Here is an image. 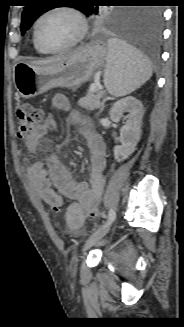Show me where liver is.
<instances>
[{"label": "liver", "instance_id": "6515ba94", "mask_svg": "<svg viewBox=\"0 0 184 327\" xmlns=\"http://www.w3.org/2000/svg\"><path fill=\"white\" fill-rule=\"evenodd\" d=\"M66 57H68V56H66ZM66 57H57V58H50V59H46V60H40V61H32V62H30V64L47 65V64L59 62V61L65 59Z\"/></svg>", "mask_w": 184, "mask_h": 327}]
</instances>
